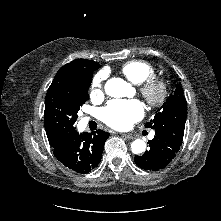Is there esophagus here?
<instances>
[{
  "mask_svg": "<svg viewBox=\"0 0 221 221\" xmlns=\"http://www.w3.org/2000/svg\"><path fill=\"white\" fill-rule=\"evenodd\" d=\"M122 137H124L126 139H134V136H132L130 134H122Z\"/></svg>",
  "mask_w": 221,
  "mask_h": 221,
  "instance_id": "esophagus-1",
  "label": "esophagus"
}]
</instances>
